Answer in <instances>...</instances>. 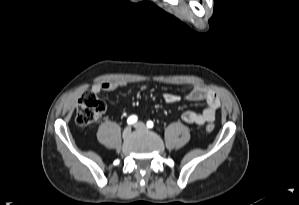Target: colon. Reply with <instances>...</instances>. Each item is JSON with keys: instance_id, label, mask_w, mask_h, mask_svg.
Returning a JSON list of instances; mask_svg holds the SVG:
<instances>
[{"instance_id": "colon-1", "label": "colon", "mask_w": 299, "mask_h": 205, "mask_svg": "<svg viewBox=\"0 0 299 205\" xmlns=\"http://www.w3.org/2000/svg\"><path fill=\"white\" fill-rule=\"evenodd\" d=\"M106 105L94 93H84L77 104L76 122L79 126H88L96 122L105 112ZM215 126L213 123L206 125V131L212 132Z\"/></svg>"}]
</instances>
